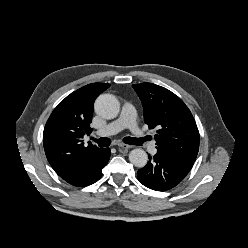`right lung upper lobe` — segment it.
Instances as JSON below:
<instances>
[{"mask_svg": "<svg viewBox=\"0 0 248 248\" xmlns=\"http://www.w3.org/2000/svg\"><path fill=\"white\" fill-rule=\"evenodd\" d=\"M110 84H88L63 99L50 115L43 132L46 157L55 172L64 180L76 174L99 148L83 136L91 133L93 105Z\"/></svg>", "mask_w": 248, "mask_h": 248, "instance_id": "right-lung-upper-lobe-1", "label": "right lung upper lobe"}]
</instances>
